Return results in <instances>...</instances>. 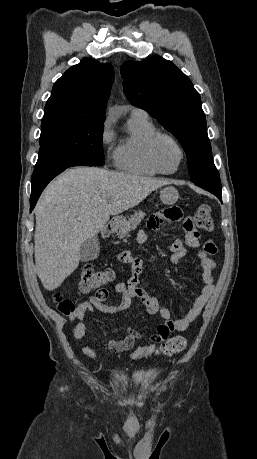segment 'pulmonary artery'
Wrapping results in <instances>:
<instances>
[{
    "mask_svg": "<svg viewBox=\"0 0 257 459\" xmlns=\"http://www.w3.org/2000/svg\"><path fill=\"white\" fill-rule=\"evenodd\" d=\"M131 113H139V114H146L143 110L134 108Z\"/></svg>",
    "mask_w": 257,
    "mask_h": 459,
    "instance_id": "pulmonary-artery-1",
    "label": "pulmonary artery"
}]
</instances>
